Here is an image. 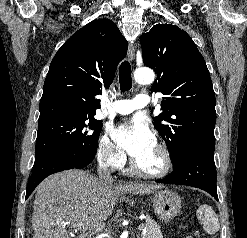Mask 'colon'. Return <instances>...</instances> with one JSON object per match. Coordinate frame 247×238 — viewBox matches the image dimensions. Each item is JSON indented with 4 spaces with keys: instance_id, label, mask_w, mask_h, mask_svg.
<instances>
[{
    "instance_id": "5ec220e1",
    "label": "colon",
    "mask_w": 247,
    "mask_h": 238,
    "mask_svg": "<svg viewBox=\"0 0 247 238\" xmlns=\"http://www.w3.org/2000/svg\"><path fill=\"white\" fill-rule=\"evenodd\" d=\"M186 238H195V237H193V236H188V237H186Z\"/></svg>"
}]
</instances>
